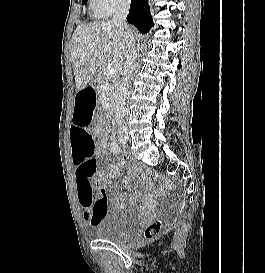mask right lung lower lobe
Here are the masks:
<instances>
[{"label": "right lung lower lobe", "instance_id": "right-lung-lower-lobe-1", "mask_svg": "<svg viewBox=\"0 0 265 273\" xmlns=\"http://www.w3.org/2000/svg\"><path fill=\"white\" fill-rule=\"evenodd\" d=\"M127 21L142 33H147L153 26L148 0H131Z\"/></svg>", "mask_w": 265, "mask_h": 273}]
</instances>
